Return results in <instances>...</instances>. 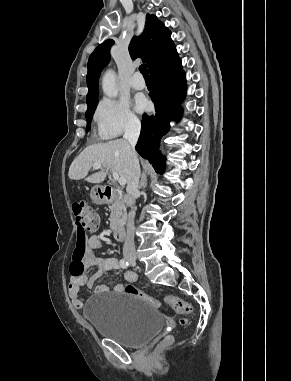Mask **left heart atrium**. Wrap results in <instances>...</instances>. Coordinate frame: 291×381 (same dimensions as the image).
Wrapping results in <instances>:
<instances>
[{"label": "left heart atrium", "instance_id": "1", "mask_svg": "<svg viewBox=\"0 0 291 381\" xmlns=\"http://www.w3.org/2000/svg\"><path fill=\"white\" fill-rule=\"evenodd\" d=\"M147 107H148V103H147V101L144 98L138 97L136 99V108H137V110L143 111V110H146Z\"/></svg>", "mask_w": 291, "mask_h": 381}]
</instances>
